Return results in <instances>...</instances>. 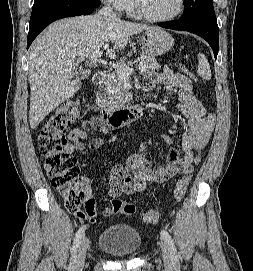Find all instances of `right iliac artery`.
I'll return each mask as SVG.
<instances>
[{"label": "right iliac artery", "instance_id": "right-iliac-artery-1", "mask_svg": "<svg viewBox=\"0 0 253 271\" xmlns=\"http://www.w3.org/2000/svg\"><path fill=\"white\" fill-rule=\"evenodd\" d=\"M85 229H86L85 225L81 226L78 229V231H77V233L75 235L74 243H73V248H72V255H71L70 264H69V270L68 271H75V269H76V258H77L76 253H77V249L79 247L81 238L84 235Z\"/></svg>", "mask_w": 253, "mask_h": 271}]
</instances>
